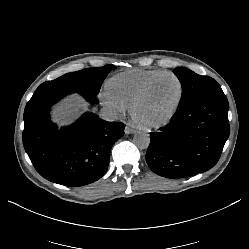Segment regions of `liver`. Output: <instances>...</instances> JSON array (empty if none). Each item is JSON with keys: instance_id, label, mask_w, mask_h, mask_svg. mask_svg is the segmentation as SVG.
Listing matches in <instances>:
<instances>
[{"instance_id": "6515ba94", "label": "liver", "mask_w": 249, "mask_h": 249, "mask_svg": "<svg viewBox=\"0 0 249 249\" xmlns=\"http://www.w3.org/2000/svg\"><path fill=\"white\" fill-rule=\"evenodd\" d=\"M86 107L83 105H76V106H70L66 105L64 108L60 109V112H55V114H63L65 116H69L68 118H71L73 115H75L77 112L84 110ZM61 122L65 121V119H60Z\"/></svg>"}]
</instances>
